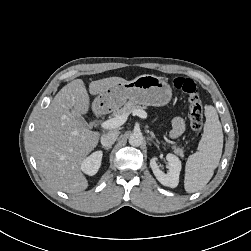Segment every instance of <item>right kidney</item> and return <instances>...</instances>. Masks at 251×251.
Masks as SVG:
<instances>
[{
    "mask_svg": "<svg viewBox=\"0 0 251 251\" xmlns=\"http://www.w3.org/2000/svg\"><path fill=\"white\" fill-rule=\"evenodd\" d=\"M102 156L103 153L101 151L92 153L83 160L81 170L89 176L95 175L101 166Z\"/></svg>",
    "mask_w": 251,
    "mask_h": 251,
    "instance_id": "obj_1",
    "label": "right kidney"
}]
</instances>
